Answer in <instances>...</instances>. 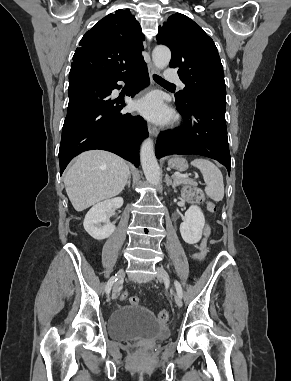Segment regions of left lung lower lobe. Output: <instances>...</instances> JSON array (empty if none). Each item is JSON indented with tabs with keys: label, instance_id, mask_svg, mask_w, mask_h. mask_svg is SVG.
I'll list each match as a JSON object with an SVG mask.
<instances>
[{
	"label": "left lung lower lobe",
	"instance_id": "1",
	"mask_svg": "<svg viewBox=\"0 0 291 381\" xmlns=\"http://www.w3.org/2000/svg\"><path fill=\"white\" fill-rule=\"evenodd\" d=\"M176 105L184 117V125L175 131L159 134L156 157L159 159L172 154L207 156L222 163L230 174L226 102L193 97L184 103L176 100Z\"/></svg>",
	"mask_w": 291,
	"mask_h": 381
}]
</instances>
